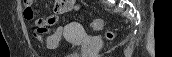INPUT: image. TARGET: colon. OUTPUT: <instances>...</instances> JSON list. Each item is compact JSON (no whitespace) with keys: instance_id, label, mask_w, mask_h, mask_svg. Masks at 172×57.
Segmentation results:
<instances>
[{"instance_id":"obj_1","label":"colon","mask_w":172,"mask_h":57,"mask_svg":"<svg viewBox=\"0 0 172 57\" xmlns=\"http://www.w3.org/2000/svg\"><path fill=\"white\" fill-rule=\"evenodd\" d=\"M24 13L27 16L31 17L33 15V10L30 7H26L24 10ZM90 26L95 30H101L103 28V22L101 20L97 19V20L92 21ZM57 30H60L62 32L61 28H58ZM113 36L114 35L111 31L107 32L108 39H112Z\"/></svg>"}]
</instances>
